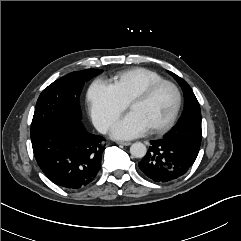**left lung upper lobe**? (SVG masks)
I'll return each instance as SVG.
<instances>
[{"instance_id": "left-lung-upper-lobe-1", "label": "left lung upper lobe", "mask_w": 241, "mask_h": 241, "mask_svg": "<svg viewBox=\"0 0 241 241\" xmlns=\"http://www.w3.org/2000/svg\"><path fill=\"white\" fill-rule=\"evenodd\" d=\"M181 85L184 92L185 109L179 123L163 139L171 140L197 157L201 144V110L197 98L186 81L169 72Z\"/></svg>"}]
</instances>
